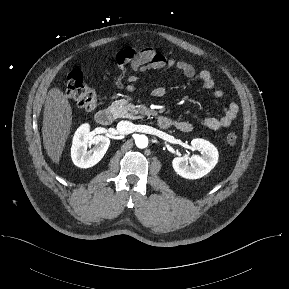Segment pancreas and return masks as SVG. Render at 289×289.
Returning <instances> with one entry per match:
<instances>
[{
	"label": "pancreas",
	"instance_id": "1",
	"mask_svg": "<svg viewBox=\"0 0 289 289\" xmlns=\"http://www.w3.org/2000/svg\"><path fill=\"white\" fill-rule=\"evenodd\" d=\"M109 109L117 118L138 119L140 117L136 107L125 99L112 102Z\"/></svg>",
	"mask_w": 289,
	"mask_h": 289
}]
</instances>
